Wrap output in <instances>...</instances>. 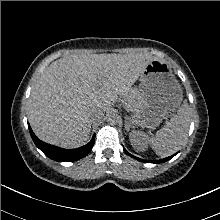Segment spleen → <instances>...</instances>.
Returning a JSON list of instances; mask_svg holds the SVG:
<instances>
[{
	"mask_svg": "<svg viewBox=\"0 0 220 220\" xmlns=\"http://www.w3.org/2000/svg\"><path fill=\"white\" fill-rule=\"evenodd\" d=\"M190 108L185 101L177 114L149 139V144L159 156H169L178 151L188 136Z\"/></svg>",
	"mask_w": 220,
	"mask_h": 220,
	"instance_id": "obj_1",
	"label": "spleen"
}]
</instances>
